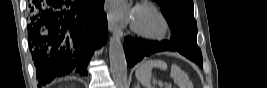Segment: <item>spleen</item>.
<instances>
[{
    "label": "spleen",
    "mask_w": 267,
    "mask_h": 88,
    "mask_svg": "<svg viewBox=\"0 0 267 88\" xmlns=\"http://www.w3.org/2000/svg\"><path fill=\"white\" fill-rule=\"evenodd\" d=\"M157 67L162 70L167 69V64L162 60H148L143 62L136 70L135 76L137 80L145 87L152 88L151 77L152 68ZM171 78L174 83H176L179 88H187L188 78L184 71L177 65L171 66Z\"/></svg>",
    "instance_id": "3e777b00"
}]
</instances>
